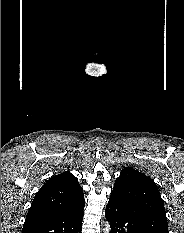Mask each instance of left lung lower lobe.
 <instances>
[{"instance_id":"0a47b994","label":"left lung lower lobe","mask_w":184,"mask_h":233,"mask_svg":"<svg viewBox=\"0 0 184 233\" xmlns=\"http://www.w3.org/2000/svg\"><path fill=\"white\" fill-rule=\"evenodd\" d=\"M105 217L110 222V233H153L140 217L116 199H109Z\"/></svg>"}]
</instances>
